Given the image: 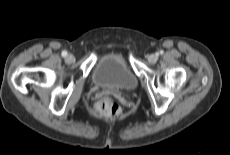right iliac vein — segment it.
<instances>
[{
    "label": "right iliac vein",
    "mask_w": 230,
    "mask_h": 155,
    "mask_svg": "<svg viewBox=\"0 0 230 155\" xmlns=\"http://www.w3.org/2000/svg\"><path fill=\"white\" fill-rule=\"evenodd\" d=\"M65 60L67 63H71L74 61V56L72 54H69Z\"/></svg>",
    "instance_id": "1"
}]
</instances>
